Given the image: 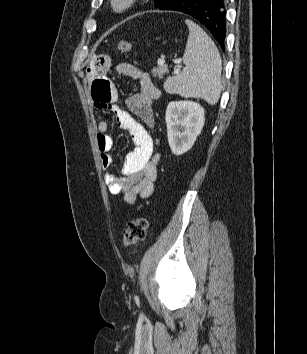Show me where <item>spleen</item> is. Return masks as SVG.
<instances>
[{"mask_svg":"<svg viewBox=\"0 0 307 354\" xmlns=\"http://www.w3.org/2000/svg\"><path fill=\"white\" fill-rule=\"evenodd\" d=\"M185 22L189 27L183 55L185 67L180 74L169 78L164 88L168 93L186 98H201L215 105L222 90V60L219 51L201 27L190 20Z\"/></svg>","mask_w":307,"mask_h":354,"instance_id":"3e777b00","label":"spleen"}]
</instances>
